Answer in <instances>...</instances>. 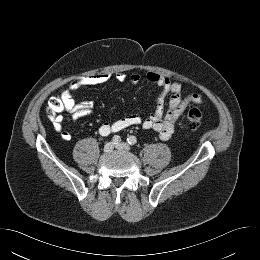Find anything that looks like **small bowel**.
<instances>
[{
	"instance_id": "small-bowel-1",
	"label": "small bowel",
	"mask_w": 260,
	"mask_h": 260,
	"mask_svg": "<svg viewBox=\"0 0 260 260\" xmlns=\"http://www.w3.org/2000/svg\"><path fill=\"white\" fill-rule=\"evenodd\" d=\"M110 78L111 75L106 72L79 76L66 88L62 98L64 108L71 114L72 120L77 121L89 116L93 111V106L89 101L77 103L74 99L73 91L83 86L103 84ZM145 78L147 82L157 85L161 89L156 98L154 111L145 118L131 114L111 123H103L98 129L101 136H108L129 126L141 125L144 129L157 132L160 139L167 140L173 135L176 123L185 112L187 106L204 102L203 95L197 91L183 96L182 84L167 76L156 72H148ZM115 79L119 82H124L128 79L132 84H138L141 76L133 73L127 77L126 74L118 72L115 74ZM55 127L65 141L72 139V135L64 130L61 119L57 120Z\"/></svg>"
}]
</instances>
